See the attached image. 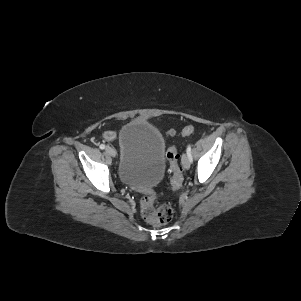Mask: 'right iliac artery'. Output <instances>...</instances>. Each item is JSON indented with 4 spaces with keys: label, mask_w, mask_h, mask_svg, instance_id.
<instances>
[{
    "label": "right iliac artery",
    "mask_w": 301,
    "mask_h": 301,
    "mask_svg": "<svg viewBox=\"0 0 301 301\" xmlns=\"http://www.w3.org/2000/svg\"><path fill=\"white\" fill-rule=\"evenodd\" d=\"M100 149H102V150L105 149V145H104V144H101V145H100Z\"/></svg>",
    "instance_id": "obj_1"
}]
</instances>
